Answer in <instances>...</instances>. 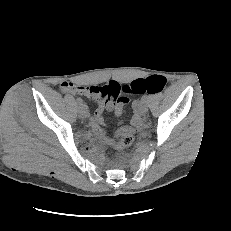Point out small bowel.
Returning a JSON list of instances; mask_svg holds the SVG:
<instances>
[{
    "mask_svg": "<svg viewBox=\"0 0 231 231\" xmlns=\"http://www.w3.org/2000/svg\"><path fill=\"white\" fill-rule=\"evenodd\" d=\"M106 86L107 85L79 86L72 82H67V81L61 83V89L63 92L71 93V94H84L97 102L98 107L95 110L93 116L90 118V126L93 132L95 133V135L98 137V139L101 142L105 144H111L112 139L106 136V133L102 128V125L104 124V114L106 112H113L116 116H121L123 114L126 104H128L129 102V99L127 97H120L117 100L108 98L104 91ZM134 122L135 123L138 122L137 113L134 115ZM127 129L129 128L128 127L119 128L116 132V135L121 136L123 132Z\"/></svg>",
    "mask_w": 231,
    "mask_h": 231,
    "instance_id": "c3829d8e",
    "label": "small bowel"
}]
</instances>
